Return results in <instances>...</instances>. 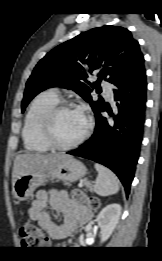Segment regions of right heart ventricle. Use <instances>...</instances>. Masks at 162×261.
I'll list each match as a JSON object with an SVG mask.
<instances>
[{
	"label": "right heart ventricle",
	"mask_w": 162,
	"mask_h": 261,
	"mask_svg": "<svg viewBox=\"0 0 162 261\" xmlns=\"http://www.w3.org/2000/svg\"><path fill=\"white\" fill-rule=\"evenodd\" d=\"M59 102V97L52 91L38 94L31 102L25 115L22 129L24 147L32 152H47L50 146L41 132V122L45 113Z\"/></svg>",
	"instance_id": "obj_1"
}]
</instances>
